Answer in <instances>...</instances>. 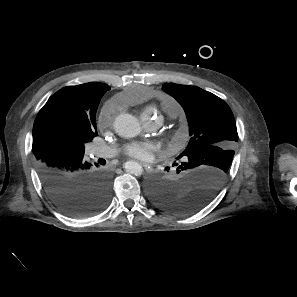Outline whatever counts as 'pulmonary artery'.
Returning a JSON list of instances; mask_svg holds the SVG:
<instances>
[{"label":"pulmonary artery","instance_id":"1","mask_svg":"<svg viewBox=\"0 0 297 297\" xmlns=\"http://www.w3.org/2000/svg\"><path fill=\"white\" fill-rule=\"evenodd\" d=\"M146 125L149 129H155L158 126V122H152L147 120ZM92 153L97 157L109 158L116 154V150L110 147L94 146L92 147Z\"/></svg>","mask_w":297,"mask_h":297}]
</instances>
